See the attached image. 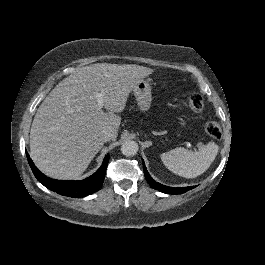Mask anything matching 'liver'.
<instances>
[{"mask_svg":"<svg viewBox=\"0 0 265 265\" xmlns=\"http://www.w3.org/2000/svg\"><path fill=\"white\" fill-rule=\"evenodd\" d=\"M151 68L134 64L97 63L76 69L56 85L35 114L30 130V156L46 175L78 179L103 147V131L116 140L129 93ZM104 94L107 113L98 108Z\"/></svg>","mask_w":265,"mask_h":265,"instance_id":"6515ba94","label":"liver"}]
</instances>
